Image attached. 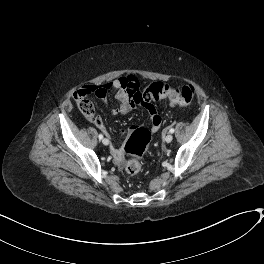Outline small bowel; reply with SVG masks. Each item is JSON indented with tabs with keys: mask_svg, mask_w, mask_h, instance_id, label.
Here are the masks:
<instances>
[{
	"mask_svg": "<svg viewBox=\"0 0 264 264\" xmlns=\"http://www.w3.org/2000/svg\"><path fill=\"white\" fill-rule=\"evenodd\" d=\"M109 88H113L116 91V98L119 102V106L115 110V113L126 114L135 108L133 94L140 89V81L135 75H124L122 77L116 78L110 83L100 85L96 87L94 93L98 98L105 100L107 97V90ZM171 104L181 103L171 102ZM146 110L149 115L148 125L152 131H156L161 124V117L153 106H146ZM96 126L109 138L114 140V136L110 133L107 125L103 121L100 120L98 123H96ZM134 128L135 125L124 127L120 129L119 134L121 137H127L130 133H132ZM110 152L115 163L119 167H122L125 163V155L121 146H112Z\"/></svg>",
	"mask_w": 264,
	"mask_h": 264,
	"instance_id": "c3829d8e",
	"label": "small bowel"
}]
</instances>
